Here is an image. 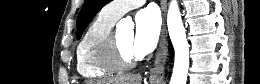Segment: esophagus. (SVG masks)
<instances>
[{"instance_id":"1","label":"esophagus","mask_w":260,"mask_h":84,"mask_svg":"<svg viewBox=\"0 0 260 84\" xmlns=\"http://www.w3.org/2000/svg\"><path fill=\"white\" fill-rule=\"evenodd\" d=\"M160 6L162 11V30L160 36L159 46L155 55L154 65L150 69L149 78L153 82H161L164 78V67L168 54V38L166 29V10L167 0H160Z\"/></svg>"}]
</instances>
